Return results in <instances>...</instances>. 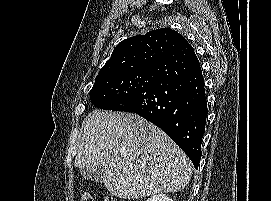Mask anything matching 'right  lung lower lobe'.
Wrapping results in <instances>:
<instances>
[{
    "mask_svg": "<svg viewBox=\"0 0 271 201\" xmlns=\"http://www.w3.org/2000/svg\"><path fill=\"white\" fill-rule=\"evenodd\" d=\"M151 72L153 79L149 88L122 103L118 111L137 113L161 128L197 169L208 113L197 56L183 40Z\"/></svg>",
    "mask_w": 271,
    "mask_h": 201,
    "instance_id": "1",
    "label": "right lung lower lobe"
}]
</instances>
